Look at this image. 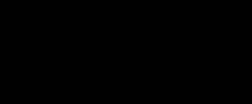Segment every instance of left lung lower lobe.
<instances>
[{
  "label": "left lung lower lobe",
  "instance_id": "obj_1",
  "mask_svg": "<svg viewBox=\"0 0 252 104\" xmlns=\"http://www.w3.org/2000/svg\"><path fill=\"white\" fill-rule=\"evenodd\" d=\"M214 91L215 80L213 75L188 79L178 78L164 89L161 99L171 102H176L177 99L179 103H190L197 95L199 102L205 104L213 101Z\"/></svg>",
  "mask_w": 252,
  "mask_h": 104
}]
</instances>
